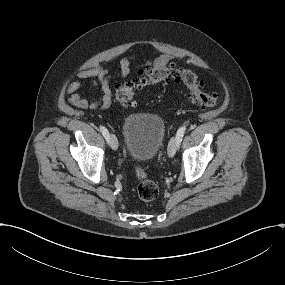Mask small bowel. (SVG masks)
Returning <instances> with one entry per match:
<instances>
[{
    "label": "small bowel",
    "mask_w": 285,
    "mask_h": 285,
    "mask_svg": "<svg viewBox=\"0 0 285 285\" xmlns=\"http://www.w3.org/2000/svg\"><path fill=\"white\" fill-rule=\"evenodd\" d=\"M173 59L174 57L172 55L162 54L147 60L142 67L167 65L171 63ZM132 65V61L125 57L121 59L120 70L116 75H110L108 67L103 64H99L90 69L79 70L77 73L78 78L82 81H88L94 89L99 90L102 94L96 100H88L81 94L83 82L74 81L68 83L65 87L66 92L69 94L67 101L80 109L106 111L114 99L113 86H115L119 80L130 74Z\"/></svg>",
    "instance_id": "small-bowel-1"
}]
</instances>
